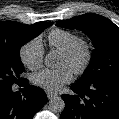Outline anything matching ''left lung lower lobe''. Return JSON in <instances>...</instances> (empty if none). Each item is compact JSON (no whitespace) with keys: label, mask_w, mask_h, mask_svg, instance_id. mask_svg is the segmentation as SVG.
Masks as SVG:
<instances>
[{"label":"left lung lower lobe","mask_w":119,"mask_h":119,"mask_svg":"<svg viewBox=\"0 0 119 119\" xmlns=\"http://www.w3.org/2000/svg\"><path fill=\"white\" fill-rule=\"evenodd\" d=\"M71 89L77 95H62L60 119H119V84H73Z\"/></svg>","instance_id":"0a47b994"}]
</instances>
